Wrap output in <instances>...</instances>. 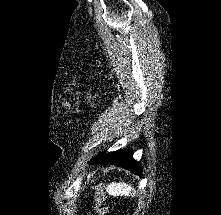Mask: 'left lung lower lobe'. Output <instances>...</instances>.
I'll return each instance as SVG.
<instances>
[{"label":"left lung lower lobe","mask_w":221,"mask_h":215,"mask_svg":"<svg viewBox=\"0 0 221 215\" xmlns=\"http://www.w3.org/2000/svg\"><path fill=\"white\" fill-rule=\"evenodd\" d=\"M91 162H96L97 164H106L107 162H110L115 166L130 170L141 177V165L133 159L132 152L129 150H118L115 152L103 153L102 156Z\"/></svg>","instance_id":"0a47b994"}]
</instances>
